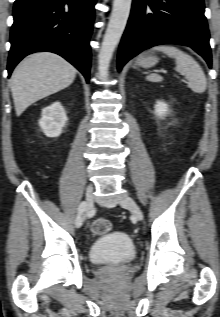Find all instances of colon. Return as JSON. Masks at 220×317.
I'll return each mask as SVG.
<instances>
[{
    "label": "colon",
    "instance_id": "5ec220e1",
    "mask_svg": "<svg viewBox=\"0 0 220 317\" xmlns=\"http://www.w3.org/2000/svg\"><path fill=\"white\" fill-rule=\"evenodd\" d=\"M110 222L104 218H97L91 224V230L95 234H105L110 230Z\"/></svg>",
    "mask_w": 220,
    "mask_h": 317
}]
</instances>
